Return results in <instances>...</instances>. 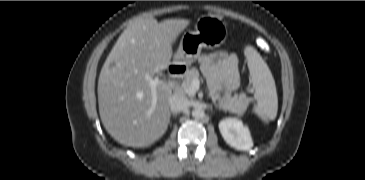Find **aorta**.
<instances>
[{"label":"aorta","instance_id":"762f6f07","mask_svg":"<svg viewBox=\"0 0 365 180\" xmlns=\"http://www.w3.org/2000/svg\"><path fill=\"white\" fill-rule=\"evenodd\" d=\"M192 116L196 119H201L204 117V110L200 107L194 108L192 111Z\"/></svg>","mask_w":365,"mask_h":180}]
</instances>
